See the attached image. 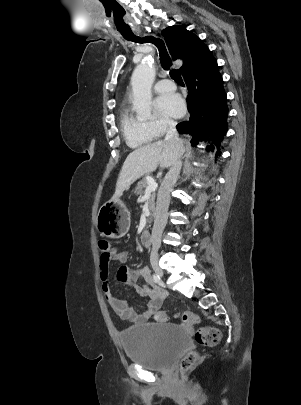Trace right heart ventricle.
<instances>
[{"label":"right heart ventricle","mask_w":301,"mask_h":405,"mask_svg":"<svg viewBox=\"0 0 301 405\" xmlns=\"http://www.w3.org/2000/svg\"><path fill=\"white\" fill-rule=\"evenodd\" d=\"M120 127L127 145L131 148L144 146L156 137L148 122L136 117L128 108L120 114Z\"/></svg>","instance_id":"right-heart-ventricle-1"}]
</instances>
